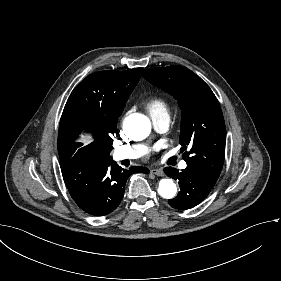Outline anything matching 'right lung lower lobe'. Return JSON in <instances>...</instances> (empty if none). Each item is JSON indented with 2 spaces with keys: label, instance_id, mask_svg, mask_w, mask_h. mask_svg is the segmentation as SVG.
I'll return each instance as SVG.
<instances>
[{
  "label": "right lung lower lobe",
  "instance_id": "1",
  "mask_svg": "<svg viewBox=\"0 0 281 281\" xmlns=\"http://www.w3.org/2000/svg\"><path fill=\"white\" fill-rule=\"evenodd\" d=\"M71 153L72 148L59 153L63 179L76 204L91 215L111 213L123 198L128 177L134 172L149 173L141 166L122 169L94 153Z\"/></svg>",
  "mask_w": 281,
  "mask_h": 281
}]
</instances>
